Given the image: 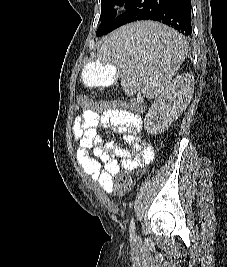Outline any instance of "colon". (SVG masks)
Here are the masks:
<instances>
[{
    "label": "colon",
    "mask_w": 227,
    "mask_h": 267,
    "mask_svg": "<svg viewBox=\"0 0 227 267\" xmlns=\"http://www.w3.org/2000/svg\"><path fill=\"white\" fill-rule=\"evenodd\" d=\"M78 106L81 109L92 108L93 111L102 109H122L123 113H132L134 116H140L148 112L147 104H127L126 100H94L93 104L88 97L78 98ZM114 178V191L117 195L125 194L131 187V170L119 169L118 173H112Z\"/></svg>",
    "instance_id": "colon-1"
}]
</instances>
